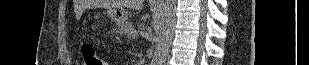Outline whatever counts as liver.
Listing matches in <instances>:
<instances>
[{
	"instance_id": "liver-1",
	"label": "liver",
	"mask_w": 309,
	"mask_h": 65,
	"mask_svg": "<svg viewBox=\"0 0 309 65\" xmlns=\"http://www.w3.org/2000/svg\"><path fill=\"white\" fill-rule=\"evenodd\" d=\"M144 0H113L112 2L106 3V6L120 7L125 6L131 9H140L143 7Z\"/></svg>"
}]
</instances>
